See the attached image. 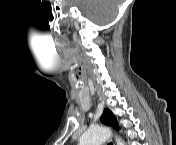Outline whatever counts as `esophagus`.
<instances>
[{"instance_id":"obj_1","label":"esophagus","mask_w":176,"mask_h":145,"mask_svg":"<svg viewBox=\"0 0 176 145\" xmlns=\"http://www.w3.org/2000/svg\"><path fill=\"white\" fill-rule=\"evenodd\" d=\"M107 145H114L113 140L110 138L109 141L107 142Z\"/></svg>"}]
</instances>
